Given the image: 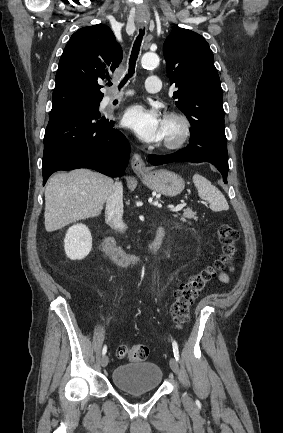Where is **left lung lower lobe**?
<instances>
[{
	"mask_svg": "<svg viewBox=\"0 0 283 433\" xmlns=\"http://www.w3.org/2000/svg\"><path fill=\"white\" fill-rule=\"evenodd\" d=\"M152 165H162L172 162H209L222 174L227 183L228 154L227 139L224 128L214 125L192 127L189 145L168 155H149Z\"/></svg>",
	"mask_w": 283,
	"mask_h": 433,
	"instance_id": "0a47b994",
	"label": "left lung lower lobe"
}]
</instances>
